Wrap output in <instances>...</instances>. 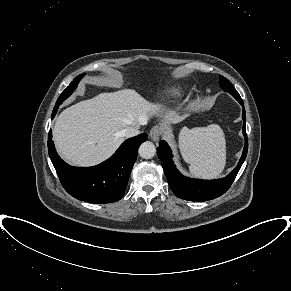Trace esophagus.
<instances>
[{"instance_id": "1", "label": "esophagus", "mask_w": 291, "mask_h": 291, "mask_svg": "<svg viewBox=\"0 0 291 291\" xmlns=\"http://www.w3.org/2000/svg\"><path fill=\"white\" fill-rule=\"evenodd\" d=\"M161 135H162V129L158 125L153 126L152 129L150 130L149 136L151 140L155 142L159 141V139L161 138Z\"/></svg>"}]
</instances>
